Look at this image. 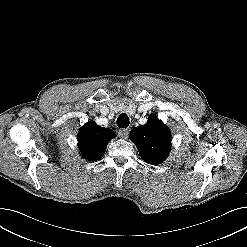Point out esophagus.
Masks as SVG:
<instances>
[{"label": "esophagus", "mask_w": 247, "mask_h": 247, "mask_svg": "<svg viewBox=\"0 0 247 247\" xmlns=\"http://www.w3.org/2000/svg\"><path fill=\"white\" fill-rule=\"evenodd\" d=\"M129 135V130L128 129H119L118 131V136L122 139H126Z\"/></svg>", "instance_id": "obj_1"}]
</instances>
